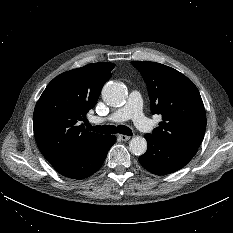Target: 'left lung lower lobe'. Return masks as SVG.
I'll return each mask as SVG.
<instances>
[{
  "mask_svg": "<svg viewBox=\"0 0 233 233\" xmlns=\"http://www.w3.org/2000/svg\"><path fill=\"white\" fill-rule=\"evenodd\" d=\"M146 153L139 157L140 164L156 175L173 173L184 167L196 154L198 148L182 144L164 143L150 134Z\"/></svg>",
  "mask_w": 233,
  "mask_h": 233,
  "instance_id": "0a47b994",
  "label": "left lung lower lobe"
}]
</instances>
